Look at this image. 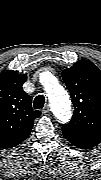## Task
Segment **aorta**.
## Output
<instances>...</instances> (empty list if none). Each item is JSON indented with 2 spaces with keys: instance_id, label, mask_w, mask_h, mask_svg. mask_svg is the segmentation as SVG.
<instances>
[{
  "instance_id": "aorta-1",
  "label": "aorta",
  "mask_w": 101,
  "mask_h": 180,
  "mask_svg": "<svg viewBox=\"0 0 101 180\" xmlns=\"http://www.w3.org/2000/svg\"><path fill=\"white\" fill-rule=\"evenodd\" d=\"M44 86L54 115L63 123L68 122L72 114L71 100L67 91L52 74H48Z\"/></svg>"
}]
</instances>
